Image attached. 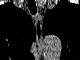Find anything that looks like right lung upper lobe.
<instances>
[{"label":"right lung upper lobe","instance_id":"obj_1","mask_svg":"<svg viewBox=\"0 0 80 60\" xmlns=\"http://www.w3.org/2000/svg\"><path fill=\"white\" fill-rule=\"evenodd\" d=\"M36 35L27 14L7 3L0 7V46L11 54L30 55Z\"/></svg>","mask_w":80,"mask_h":60}]
</instances>
